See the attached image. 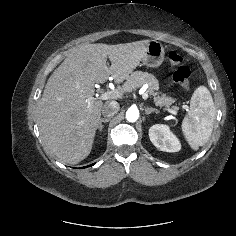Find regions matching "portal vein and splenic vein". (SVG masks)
<instances>
[{
    "label": "portal vein and splenic vein",
    "instance_id": "18ae733b",
    "mask_svg": "<svg viewBox=\"0 0 236 236\" xmlns=\"http://www.w3.org/2000/svg\"><path fill=\"white\" fill-rule=\"evenodd\" d=\"M140 94H142V97H143L144 100H147L148 93L146 92L145 88H141ZM121 96H122V93L119 92L118 90H108L105 93L101 94L99 99H101V100L117 99V98H119ZM165 110L170 112V113H172V114H174V115L177 114V112L175 110H173V109L166 108Z\"/></svg>",
    "mask_w": 236,
    "mask_h": 236
}]
</instances>
